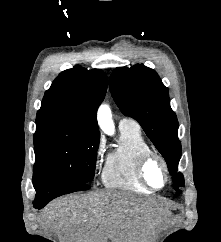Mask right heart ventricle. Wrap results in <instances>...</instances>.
I'll return each mask as SVG.
<instances>
[{
  "label": "right heart ventricle",
  "mask_w": 221,
  "mask_h": 242,
  "mask_svg": "<svg viewBox=\"0 0 221 242\" xmlns=\"http://www.w3.org/2000/svg\"><path fill=\"white\" fill-rule=\"evenodd\" d=\"M119 146L106 157L102 169V180L106 187L134 193H151L139 179L137 163L140 156L151 150L149 144L137 128H119Z\"/></svg>",
  "instance_id": "obj_1"
}]
</instances>
